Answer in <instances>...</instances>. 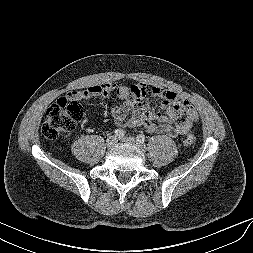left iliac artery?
<instances>
[{
  "instance_id": "1",
  "label": "left iliac artery",
  "mask_w": 253,
  "mask_h": 253,
  "mask_svg": "<svg viewBox=\"0 0 253 253\" xmlns=\"http://www.w3.org/2000/svg\"><path fill=\"white\" fill-rule=\"evenodd\" d=\"M137 141L143 144L145 142V135L143 134L137 135Z\"/></svg>"
}]
</instances>
